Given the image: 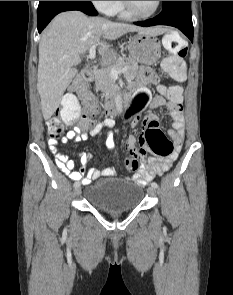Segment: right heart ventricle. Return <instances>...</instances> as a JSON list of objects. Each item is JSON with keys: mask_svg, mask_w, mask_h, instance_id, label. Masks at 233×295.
Segmentation results:
<instances>
[{"mask_svg": "<svg viewBox=\"0 0 233 295\" xmlns=\"http://www.w3.org/2000/svg\"><path fill=\"white\" fill-rule=\"evenodd\" d=\"M111 14L117 15L118 17L123 18V19L131 18V16L126 12L122 1H116L114 9Z\"/></svg>", "mask_w": 233, "mask_h": 295, "instance_id": "e07e8e85", "label": "right heart ventricle"}]
</instances>
